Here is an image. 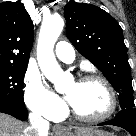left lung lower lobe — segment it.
Segmentation results:
<instances>
[{"mask_svg":"<svg viewBox=\"0 0 136 136\" xmlns=\"http://www.w3.org/2000/svg\"><path fill=\"white\" fill-rule=\"evenodd\" d=\"M102 125H114L127 130L132 136H136V108H128L121 110L114 119L104 123Z\"/></svg>","mask_w":136,"mask_h":136,"instance_id":"0a47b994","label":"left lung lower lobe"}]
</instances>
